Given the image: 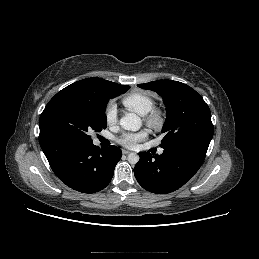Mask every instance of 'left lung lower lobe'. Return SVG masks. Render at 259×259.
<instances>
[{"label":"left lung lower lobe","instance_id":"obj_1","mask_svg":"<svg viewBox=\"0 0 259 259\" xmlns=\"http://www.w3.org/2000/svg\"><path fill=\"white\" fill-rule=\"evenodd\" d=\"M206 152L193 146L164 148L161 155L140 152L134 174L138 183L147 191L170 193L194 176L202 165Z\"/></svg>","mask_w":259,"mask_h":259}]
</instances>
